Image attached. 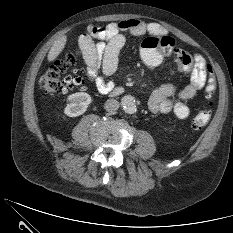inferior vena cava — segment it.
I'll return each mask as SVG.
<instances>
[{"label": "inferior vena cava", "mask_w": 233, "mask_h": 233, "mask_svg": "<svg viewBox=\"0 0 233 233\" xmlns=\"http://www.w3.org/2000/svg\"><path fill=\"white\" fill-rule=\"evenodd\" d=\"M119 102L115 99H108L106 102H105V110L109 113H114L118 110L119 108Z\"/></svg>", "instance_id": "1"}]
</instances>
